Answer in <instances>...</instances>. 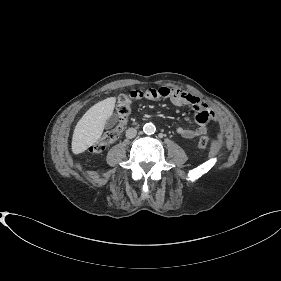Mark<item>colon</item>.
Instances as JSON below:
<instances>
[{
	"instance_id": "obj_1",
	"label": "colon",
	"mask_w": 281,
	"mask_h": 281,
	"mask_svg": "<svg viewBox=\"0 0 281 281\" xmlns=\"http://www.w3.org/2000/svg\"><path fill=\"white\" fill-rule=\"evenodd\" d=\"M118 115V124L113 129L106 132L102 138L90 147V152L93 154L101 153L107 146L115 143L120 137L123 127L126 124L130 111L131 100L127 95H121L116 104ZM210 145V139L206 136H201L198 139V147L201 149L207 148Z\"/></svg>"
}]
</instances>
